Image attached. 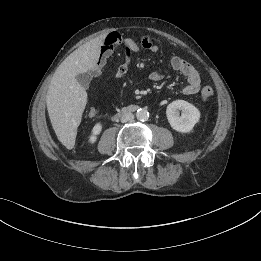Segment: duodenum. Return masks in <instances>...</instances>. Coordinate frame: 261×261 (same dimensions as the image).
<instances>
[{"label":"duodenum","instance_id":"duodenum-1","mask_svg":"<svg viewBox=\"0 0 261 261\" xmlns=\"http://www.w3.org/2000/svg\"><path fill=\"white\" fill-rule=\"evenodd\" d=\"M137 106H129L122 109L121 113L133 112L137 110Z\"/></svg>","mask_w":261,"mask_h":261}]
</instances>
